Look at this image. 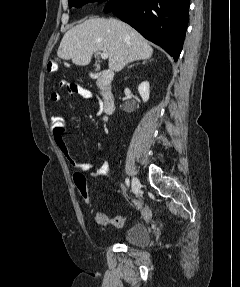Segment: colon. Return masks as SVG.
<instances>
[{
    "label": "colon",
    "instance_id": "colon-1",
    "mask_svg": "<svg viewBox=\"0 0 240 287\" xmlns=\"http://www.w3.org/2000/svg\"><path fill=\"white\" fill-rule=\"evenodd\" d=\"M56 69H57V66H56L55 62L50 61L48 64V70L50 72H54ZM61 85L64 87H67V88H71V87L75 86V84H72V83L69 84L67 82H62ZM66 126H67L66 119L64 118V116L62 114L54 113L51 116L50 127H51L52 134L63 135L65 130H66ZM73 181H74V184H75L82 200L89 207V209L93 213L94 218L98 224L104 225V226H114V227H122L123 226V224L125 222L124 217L115 216V217L110 218V217L106 216L105 214L98 212L94 209L93 204H92V200H91V196H90V193H89L87 185H86L85 176L82 173H79V172L74 173L73 174Z\"/></svg>",
    "mask_w": 240,
    "mask_h": 287
}]
</instances>
